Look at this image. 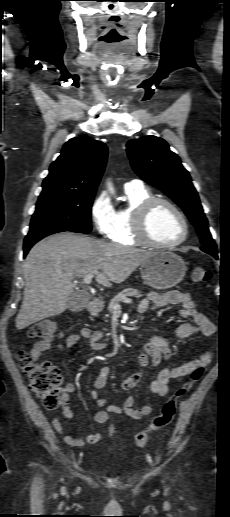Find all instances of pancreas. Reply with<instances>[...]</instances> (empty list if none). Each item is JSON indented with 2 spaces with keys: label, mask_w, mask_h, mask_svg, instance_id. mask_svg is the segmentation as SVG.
Wrapping results in <instances>:
<instances>
[{
  "label": "pancreas",
  "mask_w": 230,
  "mask_h": 517,
  "mask_svg": "<svg viewBox=\"0 0 230 517\" xmlns=\"http://www.w3.org/2000/svg\"><path fill=\"white\" fill-rule=\"evenodd\" d=\"M141 292L134 288H126L120 293H118L109 303L108 305V311L111 313L116 306V304H119L124 298L127 297H141Z\"/></svg>",
  "instance_id": "1"
}]
</instances>
